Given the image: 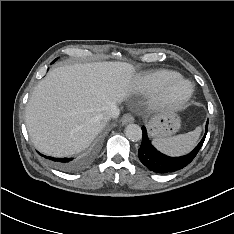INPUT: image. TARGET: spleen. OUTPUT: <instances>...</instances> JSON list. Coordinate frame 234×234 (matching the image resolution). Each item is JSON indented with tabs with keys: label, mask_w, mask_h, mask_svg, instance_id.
<instances>
[{
	"label": "spleen",
	"mask_w": 234,
	"mask_h": 234,
	"mask_svg": "<svg viewBox=\"0 0 234 234\" xmlns=\"http://www.w3.org/2000/svg\"><path fill=\"white\" fill-rule=\"evenodd\" d=\"M201 134V127L173 137L155 138L153 145L161 152L170 156H180L190 152L197 144Z\"/></svg>",
	"instance_id": "spleen-1"
}]
</instances>
